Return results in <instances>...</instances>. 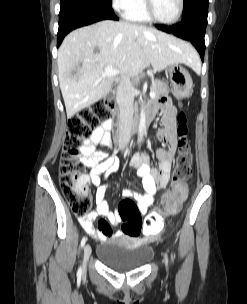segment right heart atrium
<instances>
[{
  "label": "right heart atrium",
  "instance_id": "obj_1",
  "mask_svg": "<svg viewBox=\"0 0 247 304\" xmlns=\"http://www.w3.org/2000/svg\"><path fill=\"white\" fill-rule=\"evenodd\" d=\"M137 0H112L113 7L119 12H126Z\"/></svg>",
  "mask_w": 247,
  "mask_h": 304
}]
</instances>
